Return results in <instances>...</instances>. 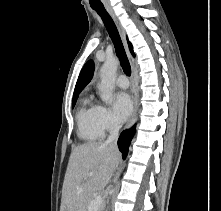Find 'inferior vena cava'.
I'll return each instance as SVG.
<instances>
[{
    "label": "inferior vena cava",
    "mask_w": 221,
    "mask_h": 211,
    "mask_svg": "<svg viewBox=\"0 0 221 211\" xmlns=\"http://www.w3.org/2000/svg\"><path fill=\"white\" fill-rule=\"evenodd\" d=\"M120 125L116 121H112L110 126V135L107 138L105 145L117 149V140L119 136Z\"/></svg>",
    "instance_id": "602c4592"
}]
</instances>
